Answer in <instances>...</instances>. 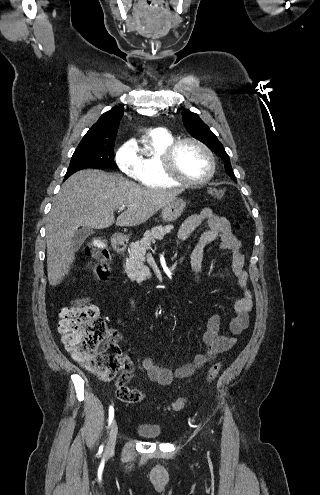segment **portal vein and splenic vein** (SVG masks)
Masks as SVG:
<instances>
[{"label": "portal vein and splenic vein", "mask_w": 320, "mask_h": 495, "mask_svg": "<svg viewBox=\"0 0 320 495\" xmlns=\"http://www.w3.org/2000/svg\"><path fill=\"white\" fill-rule=\"evenodd\" d=\"M124 208H125L124 206L119 207V211H123V210H124Z\"/></svg>", "instance_id": "1"}]
</instances>
